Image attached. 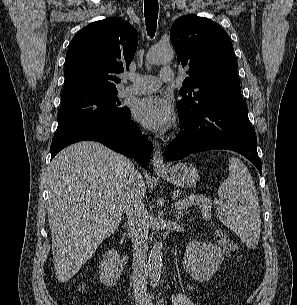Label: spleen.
Here are the masks:
<instances>
[{
    "label": "spleen",
    "instance_id": "spleen-1",
    "mask_svg": "<svg viewBox=\"0 0 297 305\" xmlns=\"http://www.w3.org/2000/svg\"><path fill=\"white\" fill-rule=\"evenodd\" d=\"M225 200L217 207L219 220L235 232L245 245L255 248L261 230L260 206L252 176L238 158H229V175L219 188Z\"/></svg>",
    "mask_w": 297,
    "mask_h": 305
}]
</instances>
